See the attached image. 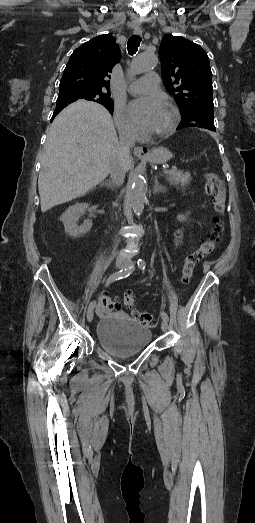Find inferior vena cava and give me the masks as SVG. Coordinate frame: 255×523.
Returning a JSON list of instances; mask_svg holds the SVG:
<instances>
[{
	"label": "inferior vena cava",
	"mask_w": 255,
	"mask_h": 523,
	"mask_svg": "<svg viewBox=\"0 0 255 523\" xmlns=\"http://www.w3.org/2000/svg\"><path fill=\"white\" fill-rule=\"evenodd\" d=\"M119 130V146L114 158L113 166L110 168L111 182L113 186H121L124 182L126 166L130 160V148H133L136 140L135 130L129 126H121Z\"/></svg>",
	"instance_id": "602c4592"
}]
</instances>
